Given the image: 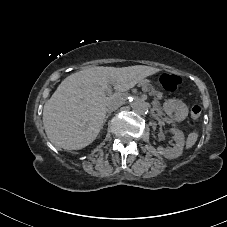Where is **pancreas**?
I'll use <instances>...</instances> for the list:
<instances>
[{
	"instance_id": "cf45deb5",
	"label": "pancreas",
	"mask_w": 227,
	"mask_h": 227,
	"mask_svg": "<svg viewBox=\"0 0 227 227\" xmlns=\"http://www.w3.org/2000/svg\"><path fill=\"white\" fill-rule=\"evenodd\" d=\"M153 107V109L156 111V113L158 114V115H160V117L162 118V119H164V121L167 123H170L171 125L174 123L173 122V120L170 118V117H166V113L160 108V105H159V103L156 101L155 103H154V105L152 106Z\"/></svg>"
}]
</instances>
